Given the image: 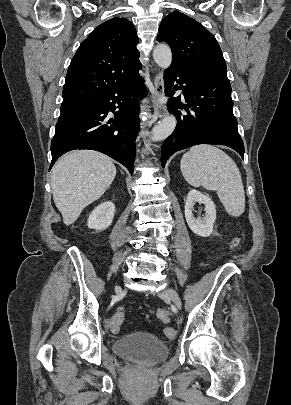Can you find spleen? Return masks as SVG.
Listing matches in <instances>:
<instances>
[{"mask_svg":"<svg viewBox=\"0 0 291 405\" xmlns=\"http://www.w3.org/2000/svg\"><path fill=\"white\" fill-rule=\"evenodd\" d=\"M180 168L190 185L215 190L230 216L243 214L245 192L242 178L235 162L225 152L215 146H195L183 155Z\"/></svg>","mask_w":291,"mask_h":405,"instance_id":"spleen-1","label":"spleen"}]
</instances>
